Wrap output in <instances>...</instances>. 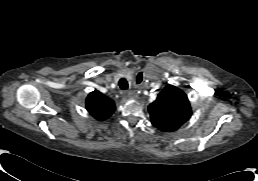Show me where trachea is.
Segmentation results:
<instances>
[{"instance_id": "3493384b", "label": "trachea", "mask_w": 258, "mask_h": 181, "mask_svg": "<svg viewBox=\"0 0 258 181\" xmlns=\"http://www.w3.org/2000/svg\"><path fill=\"white\" fill-rule=\"evenodd\" d=\"M119 86L123 90L128 89V82H127V80L125 78L120 79Z\"/></svg>"}]
</instances>
